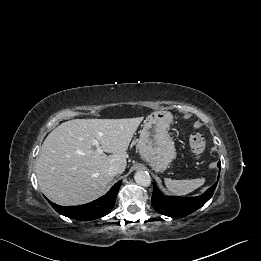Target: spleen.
Masks as SVG:
<instances>
[{
  "instance_id": "1",
  "label": "spleen",
  "mask_w": 261,
  "mask_h": 261,
  "mask_svg": "<svg viewBox=\"0 0 261 261\" xmlns=\"http://www.w3.org/2000/svg\"><path fill=\"white\" fill-rule=\"evenodd\" d=\"M164 181L167 189L171 193L175 195H186L201 187L204 184L205 179L196 178L188 180H174L170 178H165Z\"/></svg>"
}]
</instances>
